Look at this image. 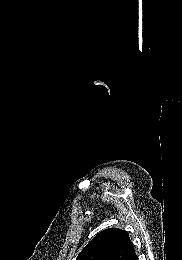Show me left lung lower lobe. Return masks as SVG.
I'll return each instance as SVG.
<instances>
[{
  "mask_svg": "<svg viewBox=\"0 0 182 260\" xmlns=\"http://www.w3.org/2000/svg\"><path fill=\"white\" fill-rule=\"evenodd\" d=\"M125 260H138V257L136 256L134 248L131 250L129 255L126 257Z\"/></svg>",
  "mask_w": 182,
  "mask_h": 260,
  "instance_id": "left-lung-lower-lobe-1",
  "label": "left lung lower lobe"
}]
</instances>
